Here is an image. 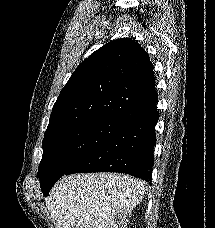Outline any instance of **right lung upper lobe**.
<instances>
[{
    "label": "right lung upper lobe",
    "instance_id": "cb5924a9",
    "mask_svg": "<svg viewBox=\"0 0 215 228\" xmlns=\"http://www.w3.org/2000/svg\"><path fill=\"white\" fill-rule=\"evenodd\" d=\"M157 98L146 51L130 38L116 39L76 68L53 106L45 134L94 117L129 122L155 109Z\"/></svg>",
    "mask_w": 215,
    "mask_h": 228
}]
</instances>
